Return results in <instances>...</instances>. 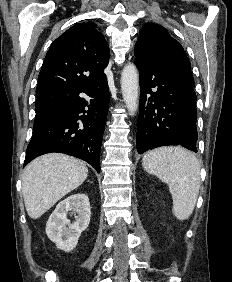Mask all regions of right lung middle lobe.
Wrapping results in <instances>:
<instances>
[{"mask_svg": "<svg viewBox=\"0 0 232 282\" xmlns=\"http://www.w3.org/2000/svg\"><path fill=\"white\" fill-rule=\"evenodd\" d=\"M35 120L42 119L59 106L67 96L57 92H37Z\"/></svg>", "mask_w": 232, "mask_h": 282, "instance_id": "1", "label": "right lung middle lobe"}]
</instances>
